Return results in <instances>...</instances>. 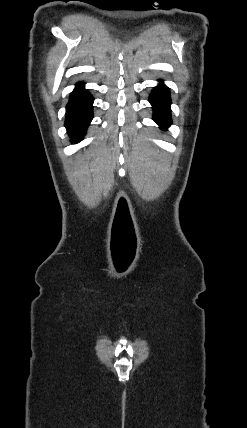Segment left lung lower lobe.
I'll list each match as a JSON object with an SVG mask.
<instances>
[{"label": "left lung lower lobe", "instance_id": "obj_1", "mask_svg": "<svg viewBox=\"0 0 247 428\" xmlns=\"http://www.w3.org/2000/svg\"><path fill=\"white\" fill-rule=\"evenodd\" d=\"M169 95V89L161 84L154 89L149 99L154 110L153 120L163 129L169 127L172 123L170 116L171 100Z\"/></svg>", "mask_w": 247, "mask_h": 428}]
</instances>
